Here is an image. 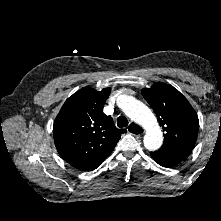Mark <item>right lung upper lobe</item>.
I'll return each mask as SVG.
<instances>
[{
  "instance_id": "1",
  "label": "right lung upper lobe",
  "mask_w": 221,
  "mask_h": 221,
  "mask_svg": "<svg viewBox=\"0 0 221 221\" xmlns=\"http://www.w3.org/2000/svg\"><path fill=\"white\" fill-rule=\"evenodd\" d=\"M110 90L83 87L66 100L54 121L57 151L75 168L102 163L126 132L116 128L112 117L103 113Z\"/></svg>"
}]
</instances>
